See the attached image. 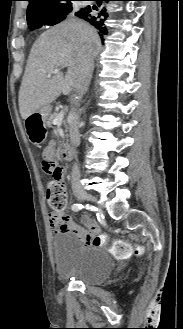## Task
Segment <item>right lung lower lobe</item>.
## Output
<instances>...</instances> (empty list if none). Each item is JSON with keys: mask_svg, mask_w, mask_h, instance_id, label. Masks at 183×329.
<instances>
[{"mask_svg": "<svg viewBox=\"0 0 183 329\" xmlns=\"http://www.w3.org/2000/svg\"><path fill=\"white\" fill-rule=\"evenodd\" d=\"M97 2V6H86L82 8L75 15L89 22L91 25L95 26L99 30V36L103 37L107 35V28L104 24L105 20L108 18L107 10L101 7L102 1H128V0H93Z\"/></svg>", "mask_w": 183, "mask_h": 329, "instance_id": "right-lung-lower-lobe-1", "label": "right lung lower lobe"}]
</instances>
